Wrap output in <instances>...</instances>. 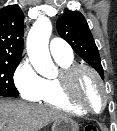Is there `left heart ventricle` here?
Masks as SVG:
<instances>
[{
  "mask_svg": "<svg viewBox=\"0 0 117 131\" xmlns=\"http://www.w3.org/2000/svg\"><path fill=\"white\" fill-rule=\"evenodd\" d=\"M79 97L87 102L95 110L102 106V93L96 80L89 74L83 73L77 82Z\"/></svg>",
  "mask_w": 117,
  "mask_h": 131,
  "instance_id": "1",
  "label": "left heart ventricle"
}]
</instances>
